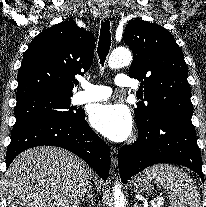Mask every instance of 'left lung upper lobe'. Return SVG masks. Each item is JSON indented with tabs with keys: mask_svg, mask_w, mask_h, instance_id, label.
I'll list each match as a JSON object with an SVG mask.
<instances>
[{
	"mask_svg": "<svg viewBox=\"0 0 206 207\" xmlns=\"http://www.w3.org/2000/svg\"><path fill=\"white\" fill-rule=\"evenodd\" d=\"M133 51L129 76L141 81L142 98L134 109L138 127H146L157 112L192 114L188 68L172 34L144 20H132L123 36Z\"/></svg>",
	"mask_w": 206,
	"mask_h": 207,
	"instance_id": "1",
	"label": "left lung upper lobe"
}]
</instances>
